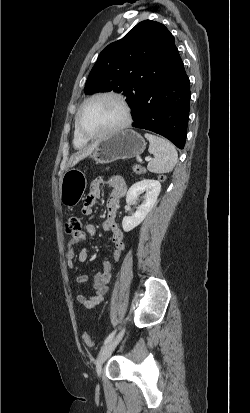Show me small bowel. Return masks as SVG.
Masks as SVG:
<instances>
[{
	"label": "small bowel",
	"mask_w": 250,
	"mask_h": 413,
	"mask_svg": "<svg viewBox=\"0 0 250 413\" xmlns=\"http://www.w3.org/2000/svg\"><path fill=\"white\" fill-rule=\"evenodd\" d=\"M104 186H110L112 191L107 201L109 211L108 217L104 220L102 227L104 231L111 232L112 234L111 255L113 260L118 262L126 249L124 235L115 222V213L119 200L126 192V183L124 179L120 176L100 177L95 179L91 184L89 196L83 206V213L86 215L92 213L93 202L101 197V190ZM95 234L96 227L91 223L86 224L84 229H75L73 231L74 237L69 241L66 252L67 263L70 269L75 268L73 263L75 258H77L80 263H84L88 259V251L86 247L81 248V250L76 253L75 246L80 242L86 243L90 238L94 237ZM112 273L113 266L111 262L105 261L102 268L94 276V294L87 296L84 292L80 291L76 296L77 301L87 309H94L97 307L103 301L104 296L108 291ZM75 281L79 285H85L88 281V276L86 274H78Z\"/></svg>",
	"instance_id": "1"
}]
</instances>
